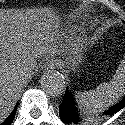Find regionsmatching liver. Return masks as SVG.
I'll return each instance as SVG.
<instances>
[{"instance_id": "1", "label": "liver", "mask_w": 125, "mask_h": 125, "mask_svg": "<svg viewBox=\"0 0 125 125\" xmlns=\"http://www.w3.org/2000/svg\"><path fill=\"white\" fill-rule=\"evenodd\" d=\"M0 123L8 115L18 99L19 92L23 86L18 70L21 67L20 47L15 48L10 44L12 36L6 29V21L0 10ZM34 26L43 33L49 32L52 24H58V17L54 13L35 19ZM51 53H56V49H51ZM18 51V52H17Z\"/></svg>"}]
</instances>
